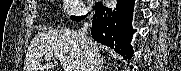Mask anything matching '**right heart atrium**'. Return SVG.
<instances>
[{"label":"right heart atrium","instance_id":"obj_1","mask_svg":"<svg viewBox=\"0 0 181 71\" xmlns=\"http://www.w3.org/2000/svg\"><path fill=\"white\" fill-rule=\"evenodd\" d=\"M66 13L68 15L77 16L85 13V7L82 1L79 0H69L65 3Z\"/></svg>","mask_w":181,"mask_h":71}]
</instances>
